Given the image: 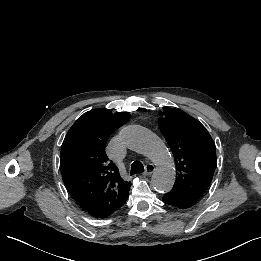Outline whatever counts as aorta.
<instances>
[{
	"mask_svg": "<svg viewBox=\"0 0 261 261\" xmlns=\"http://www.w3.org/2000/svg\"><path fill=\"white\" fill-rule=\"evenodd\" d=\"M121 142L130 150L147 156L156 165L151 183L160 193L169 192L175 182L174 160L164 142L139 125H128L119 132Z\"/></svg>",
	"mask_w": 261,
	"mask_h": 261,
	"instance_id": "obj_1",
	"label": "aorta"
}]
</instances>
